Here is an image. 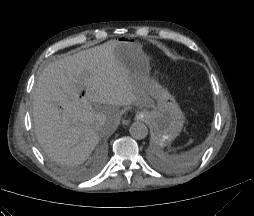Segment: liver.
Instances as JSON below:
<instances>
[{"mask_svg":"<svg viewBox=\"0 0 254 216\" xmlns=\"http://www.w3.org/2000/svg\"><path fill=\"white\" fill-rule=\"evenodd\" d=\"M117 44L109 41L64 56L41 72L33 94V123L39 144L53 161L80 165L100 138L117 128L120 107L154 106L150 78L130 76Z\"/></svg>","mask_w":254,"mask_h":216,"instance_id":"1","label":"liver"}]
</instances>
